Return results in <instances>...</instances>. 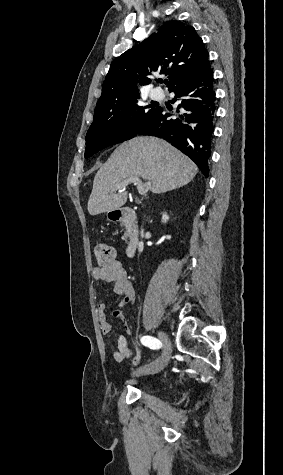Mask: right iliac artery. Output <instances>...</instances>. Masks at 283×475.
<instances>
[{
    "label": "right iliac artery",
    "mask_w": 283,
    "mask_h": 475,
    "mask_svg": "<svg viewBox=\"0 0 283 475\" xmlns=\"http://www.w3.org/2000/svg\"><path fill=\"white\" fill-rule=\"evenodd\" d=\"M141 343L150 349H156L161 344L158 339L151 336H143L141 338Z\"/></svg>",
    "instance_id": "82829eb1"
}]
</instances>
